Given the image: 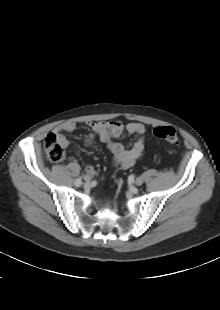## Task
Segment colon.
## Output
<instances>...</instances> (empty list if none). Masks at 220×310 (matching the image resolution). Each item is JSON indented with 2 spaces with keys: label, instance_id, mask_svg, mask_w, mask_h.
Returning a JSON list of instances; mask_svg holds the SVG:
<instances>
[{
  "label": "colon",
  "instance_id": "obj_1",
  "mask_svg": "<svg viewBox=\"0 0 220 310\" xmlns=\"http://www.w3.org/2000/svg\"><path fill=\"white\" fill-rule=\"evenodd\" d=\"M158 139L164 140L171 144L179 142V136L176 130L170 126H159L153 131ZM45 156L51 162H60L65 158V147L55 133H50L45 139Z\"/></svg>",
  "mask_w": 220,
  "mask_h": 310
}]
</instances>
